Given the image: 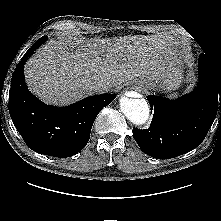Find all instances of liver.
I'll use <instances>...</instances> for the list:
<instances>
[{
	"instance_id": "liver-1",
	"label": "liver",
	"mask_w": 221,
	"mask_h": 221,
	"mask_svg": "<svg viewBox=\"0 0 221 221\" xmlns=\"http://www.w3.org/2000/svg\"><path fill=\"white\" fill-rule=\"evenodd\" d=\"M172 40L160 35L50 40L27 61L25 80L43 102L68 105L92 94L91 84L100 79L119 87L136 77H163L180 62Z\"/></svg>"
}]
</instances>
